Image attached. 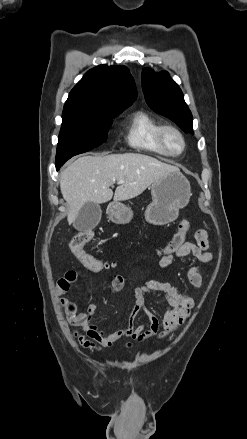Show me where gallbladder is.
Wrapping results in <instances>:
<instances>
[{"label": "gallbladder", "instance_id": "bac80fb5", "mask_svg": "<svg viewBox=\"0 0 247 439\" xmlns=\"http://www.w3.org/2000/svg\"><path fill=\"white\" fill-rule=\"evenodd\" d=\"M101 215L102 210L99 204L86 202L80 209L73 226L80 231L91 230L98 225Z\"/></svg>", "mask_w": 247, "mask_h": 439}]
</instances>
